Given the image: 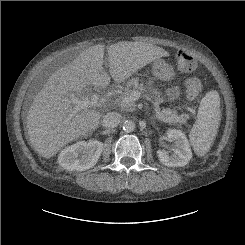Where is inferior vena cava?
<instances>
[{"instance_id":"1","label":"inferior vena cava","mask_w":245,"mask_h":245,"mask_svg":"<svg viewBox=\"0 0 245 245\" xmlns=\"http://www.w3.org/2000/svg\"><path fill=\"white\" fill-rule=\"evenodd\" d=\"M121 122V115L117 112H109L103 117V126L114 128Z\"/></svg>"}]
</instances>
